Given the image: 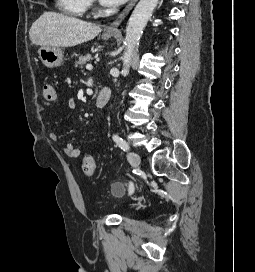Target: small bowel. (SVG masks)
<instances>
[{
	"instance_id": "small-bowel-1",
	"label": "small bowel",
	"mask_w": 255,
	"mask_h": 272,
	"mask_svg": "<svg viewBox=\"0 0 255 272\" xmlns=\"http://www.w3.org/2000/svg\"><path fill=\"white\" fill-rule=\"evenodd\" d=\"M68 108L70 110H75L76 109V103L74 101H69L68 102ZM49 138L52 141H57L58 140V134L57 133H50ZM63 151L64 153L67 155V157L71 158V159H75L78 158L81 155V150L75 146L73 143H66L63 146Z\"/></svg>"
}]
</instances>
